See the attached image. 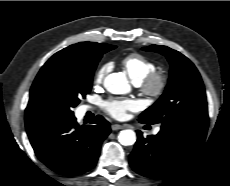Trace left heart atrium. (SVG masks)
Wrapping results in <instances>:
<instances>
[{"label": "left heart atrium", "mask_w": 230, "mask_h": 186, "mask_svg": "<svg viewBox=\"0 0 230 186\" xmlns=\"http://www.w3.org/2000/svg\"><path fill=\"white\" fill-rule=\"evenodd\" d=\"M104 108L112 117L124 119L128 111H135L138 109V104L133 100L112 99L104 102Z\"/></svg>", "instance_id": "obj_1"}]
</instances>
